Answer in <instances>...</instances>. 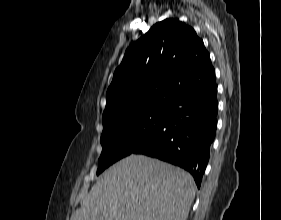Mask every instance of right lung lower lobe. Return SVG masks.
<instances>
[{
  "mask_svg": "<svg viewBox=\"0 0 281 220\" xmlns=\"http://www.w3.org/2000/svg\"><path fill=\"white\" fill-rule=\"evenodd\" d=\"M217 85L187 94L168 109L152 138L133 151L187 170L200 188L217 127Z\"/></svg>",
  "mask_w": 281,
  "mask_h": 220,
  "instance_id": "obj_1",
  "label": "right lung lower lobe"
}]
</instances>
